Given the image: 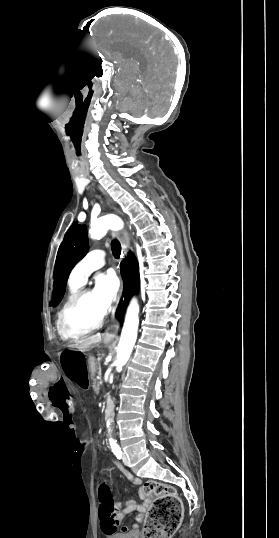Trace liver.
<instances>
[{
	"label": "liver",
	"instance_id": "1",
	"mask_svg": "<svg viewBox=\"0 0 279 538\" xmlns=\"http://www.w3.org/2000/svg\"><path fill=\"white\" fill-rule=\"evenodd\" d=\"M98 342H101V336H91V338H88L82 346H79V350H82V352H85L87 348H92V344H98Z\"/></svg>",
	"mask_w": 279,
	"mask_h": 538
}]
</instances>
